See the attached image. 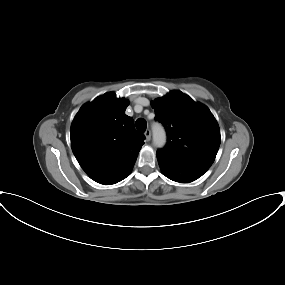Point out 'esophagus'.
<instances>
[{"label": "esophagus", "instance_id": "obj_1", "mask_svg": "<svg viewBox=\"0 0 285 285\" xmlns=\"http://www.w3.org/2000/svg\"><path fill=\"white\" fill-rule=\"evenodd\" d=\"M144 134H145L146 140L150 141L151 140V131L149 129H147Z\"/></svg>", "mask_w": 285, "mask_h": 285}]
</instances>
